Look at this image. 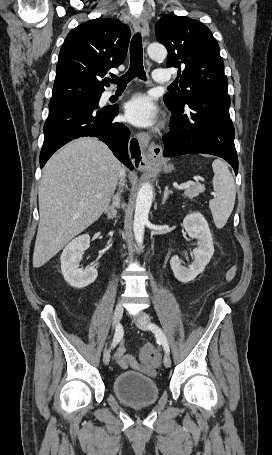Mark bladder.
Listing matches in <instances>:
<instances>
[{"label": "bladder", "instance_id": "31cf9c89", "mask_svg": "<svg viewBox=\"0 0 272 455\" xmlns=\"http://www.w3.org/2000/svg\"><path fill=\"white\" fill-rule=\"evenodd\" d=\"M115 396L130 407H143L154 404L159 397L156 381L136 371H126L113 381Z\"/></svg>", "mask_w": 272, "mask_h": 455}]
</instances>
